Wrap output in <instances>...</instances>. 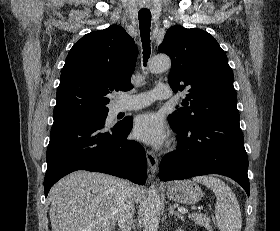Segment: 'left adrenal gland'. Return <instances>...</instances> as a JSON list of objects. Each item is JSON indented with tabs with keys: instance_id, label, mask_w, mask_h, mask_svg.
Wrapping results in <instances>:
<instances>
[{
	"instance_id": "obj_1",
	"label": "left adrenal gland",
	"mask_w": 280,
	"mask_h": 231,
	"mask_svg": "<svg viewBox=\"0 0 280 231\" xmlns=\"http://www.w3.org/2000/svg\"><path fill=\"white\" fill-rule=\"evenodd\" d=\"M168 215H169V217H171V215H176V217H180V219H184V215H181V213H178V211H175L173 205H170Z\"/></svg>"
}]
</instances>
